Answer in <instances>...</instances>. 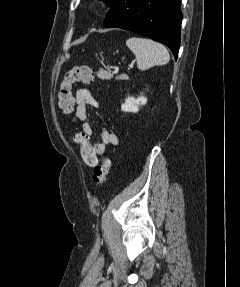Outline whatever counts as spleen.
<instances>
[{
    "label": "spleen",
    "mask_w": 240,
    "mask_h": 287,
    "mask_svg": "<svg viewBox=\"0 0 240 287\" xmlns=\"http://www.w3.org/2000/svg\"><path fill=\"white\" fill-rule=\"evenodd\" d=\"M126 45L136 56L137 67L141 71L165 65L170 60V55L164 45L151 39L131 37L126 41Z\"/></svg>",
    "instance_id": "spleen-1"
}]
</instances>
